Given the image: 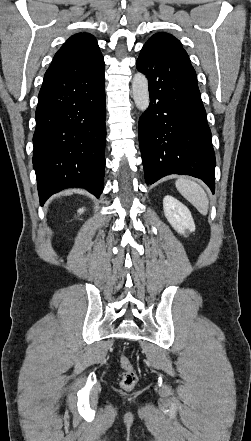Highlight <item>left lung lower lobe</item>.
Here are the masks:
<instances>
[{"instance_id": "obj_1", "label": "left lung lower lobe", "mask_w": 251, "mask_h": 441, "mask_svg": "<svg viewBox=\"0 0 251 441\" xmlns=\"http://www.w3.org/2000/svg\"><path fill=\"white\" fill-rule=\"evenodd\" d=\"M136 66L147 76L150 93L138 131L145 182L190 175L214 192L215 153L193 66L148 48H142Z\"/></svg>"}]
</instances>
